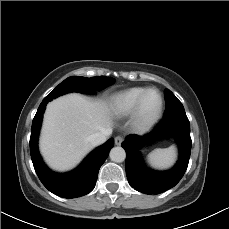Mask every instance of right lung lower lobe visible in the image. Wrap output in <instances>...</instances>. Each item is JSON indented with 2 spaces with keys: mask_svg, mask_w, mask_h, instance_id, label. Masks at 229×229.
Wrapping results in <instances>:
<instances>
[{
  "mask_svg": "<svg viewBox=\"0 0 229 229\" xmlns=\"http://www.w3.org/2000/svg\"><path fill=\"white\" fill-rule=\"evenodd\" d=\"M47 101L40 104L32 122L30 153L34 169L42 184L53 194L63 198H76L90 193L96 184L101 165L114 146V139L92 151L73 171L59 174L44 164L38 151V135Z\"/></svg>",
  "mask_w": 229,
  "mask_h": 229,
  "instance_id": "1",
  "label": "right lung lower lobe"
}]
</instances>
